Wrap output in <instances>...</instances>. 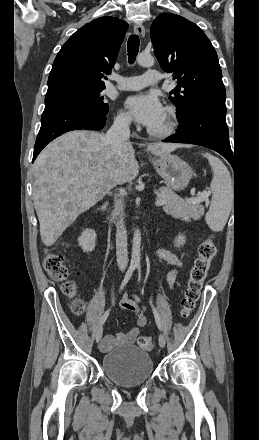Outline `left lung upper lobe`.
I'll return each instance as SVG.
<instances>
[{
    "label": "left lung upper lobe",
    "instance_id": "5c2ea615",
    "mask_svg": "<svg viewBox=\"0 0 259 440\" xmlns=\"http://www.w3.org/2000/svg\"><path fill=\"white\" fill-rule=\"evenodd\" d=\"M150 34L161 68L173 73L178 84L169 96L178 110V121L200 102L225 105L226 91L217 53L196 24L164 13L153 21Z\"/></svg>",
    "mask_w": 259,
    "mask_h": 440
}]
</instances>
